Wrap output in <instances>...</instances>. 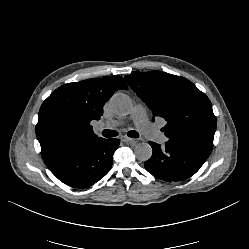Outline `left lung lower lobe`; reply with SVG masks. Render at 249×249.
Returning a JSON list of instances; mask_svg holds the SVG:
<instances>
[{
	"label": "left lung lower lobe",
	"instance_id": "left-lung-lower-lobe-1",
	"mask_svg": "<svg viewBox=\"0 0 249 249\" xmlns=\"http://www.w3.org/2000/svg\"><path fill=\"white\" fill-rule=\"evenodd\" d=\"M152 157L144 163L155 177L165 181H182L194 175L209 157L211 151L194 146L166 142L161 146L149 142Z\"/></svg>",
	"mask_w": 249,
	"mask_h": 249
}]
</instances>
